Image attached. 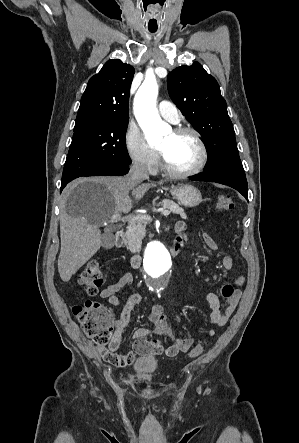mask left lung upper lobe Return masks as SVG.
<instances>
[{
    "mask_svg": "<svg viewBox=\"0 0 299 443\" xmlns=\"http://www.w3.org/2000/svg\"><path fill=\"white\" fill-rule=\"evenodd\" d=\"M171 99L206 143L205 171L219 168L242 169L235 132L227 105L215 78L201 64L180 66L168 75Z\"/></svg>",
    "mask_w": 299,
    "mask_h": 443,
    "instance_id": "1",
    "label": "left lung upper lobe"
}]
</instances>
